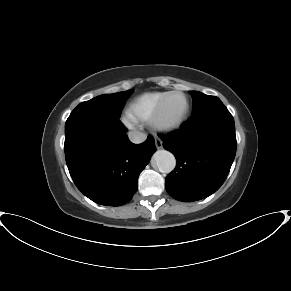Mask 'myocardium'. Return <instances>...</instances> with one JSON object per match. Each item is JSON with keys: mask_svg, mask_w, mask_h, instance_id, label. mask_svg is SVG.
I'll use <instances>...</instances> for the list:
<instances>
[{"mask_svg": "<svg viewBox=\"0 0 291 291\" xmlns=\"http://www.w3.org/2000/svg\"><path fill=\"white\" fill-rule=\"evenodd\" d=\"M182 95L186 99V111L184 117L177 123L174 124H166L162 121L163 111L168 102V100L175 96ZM191 114V103L189 97L180 91H172L169 92L157 105L155 111L153 112L150 118V125L152 128L159 132H173L177 131L184 126V124L188 121Z\"/></svg>", "mask_w": 291, "mask_h": 291, "instance_id": "f54148a6", "label": "myocardium"}]
</instances>
